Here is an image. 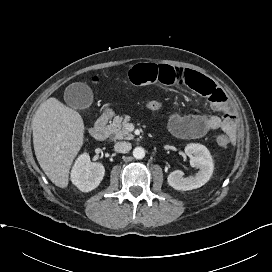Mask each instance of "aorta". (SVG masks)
Returning <instances> with one entry per match:
<instances>
[{"label": "aorta", "mask_w": 272, "mask_h": 272, "mask_svg": "<svg viewBox=\"0 0 272 272\" xmlns=\"http://www.w3.org/2000/svg\"><path fill=\"white\" fill-rule=\"evenodd\" d=\"M133 156L136 159H143L145 157V150L142 147H136L133 150Z\"/></svg>", "instance_id": "obj_1"}]
</instances>
